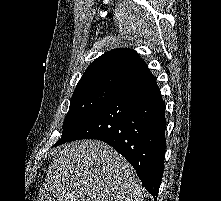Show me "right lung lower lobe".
<instances>
[{
	"instance_id": "right-lung-lower-lobe-1",
	"label": "right lung lower lobe",
	"mask_w": 221,
	"mask_h": 201,
	"mask_svg": "<svg viewBox=\"0 0 221 201\" xmlns=\"http://www.w3.org/2000/svg\"><path fill=\"white\" fill-rule=\"evenodd\" d=\"M165 108L149 71L119 89L63 143L97 139L109 144L131 163L156 201L166 149Z\"/></svg>"
}]
</instances>
